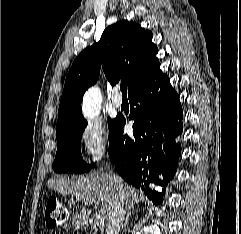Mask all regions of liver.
<instances>
[{
	"mask_svg": "<svg viewBox=\"0 0 241 234\" xmlns=\"http://www.w3.org/2000/svg\"><path fill=\"white\" fill-rule=\"evenodd\" d=\"M46 184L50 189L65 197L72 195L70 204L73 205H75L73 196L76 197L77 201H84L85 198L96 200L98 204H101L99 213L105 220H108L115 202L120 200L112 174L103 171H93L86 175L72 177L71 179L51 178ZM123 187L125 190L124 200L127 206L133 208L135 204L139 203L141 193L126 183H123Z\"/></svg>",
	"mask_w": 241,
	"mask_h": 234,
	"instance_id": "obj_1",
	"label": "liver"
}]
</instances>
